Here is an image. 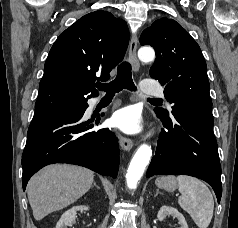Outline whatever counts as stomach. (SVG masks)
<instances>
[{"instance_id":"1","label":"stomach","mask_w":238,"mask_h":228,"mask_svg":"<svg viewBox=\"0 0 238 228\" xmlns=\"http://www.w3.org/2000/svg\"><path fill=\"white\" fill-rule=\"evenodd\" d=\"M156 185L160 189L166 191H174L177 188L176 179L174 176H163L156 179Z\"/></svg>"}]
</instances>
